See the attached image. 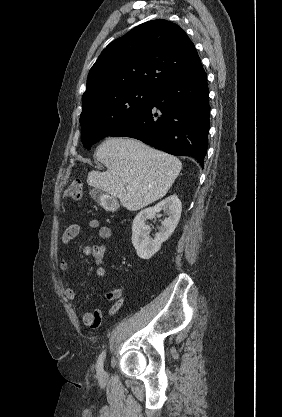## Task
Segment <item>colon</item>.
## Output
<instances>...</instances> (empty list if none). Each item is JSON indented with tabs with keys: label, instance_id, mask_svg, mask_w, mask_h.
Here are the masks:
<instances>
[{
	"label": "colon",
	"instance_id": "5ec220e1",
	"mask_svg": "<svg viewBox=\"0 0 282 417\" xmlns=\"http://www.w3.org/2000/svg\"><path fill=\"white\" fill-rule=\"evenodd\" d=\"M65 195L71 199L79 200L82 197V185L79 182H70L65 188ZM89 253L96 259H100L103 253L100 249H92Z\"/></svg>",
	"mask_w": 282,
	"mask_h": 417
}]
</instances>
